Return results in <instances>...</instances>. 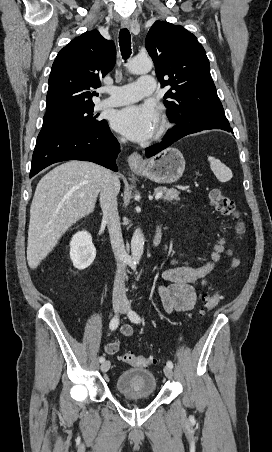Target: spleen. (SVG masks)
Returning <instances> with one entry per match:
<instances>
[{"mask_svg":"<svg viewBox=\"0 0 272 452\" xmlns=\"http://www.w3.org/2000/svg\"><path fill=\"white\" fill-rule=\"evenodd\" d=\"M208 160L211 170L220 182H227L233 177L232 171L220 160L211 156L208 157Z\"/></svg>","mask_w":272,"mask_h":452,"instance_id":"3e777b00","label":"spleen"}]
</instances>
